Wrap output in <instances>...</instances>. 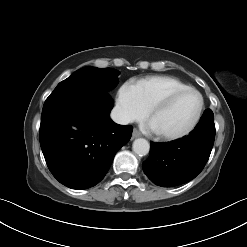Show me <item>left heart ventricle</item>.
Instances as JSON below:
<instances>
[{"mask_svg": "<svg viewBox=\"0 0 247 247\" xmlns=\"http://www.w3.org/2000/svg\"><path fill=\"white\" fill-rule=\"evenodd\" d=\"M200 105V98L194 92L177 96L172 103L157 112L150 124L154 131L162 134H176L186 129L194 120Z\"/></svg>", "mask_w": 247, "mask_h": 247, "instance_id": "obj_1", "label": "left heart ventricle"}]
</instances>
